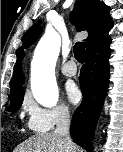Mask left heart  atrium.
<instances>
[{"label": "left heart atrium", "instance_id": "left-heart-atrium-1", "mask_svg": "<svg viewBox=\"0 0 123 152\" xmlns=\"http://www.w3.org/2000/svg\"><path fill=\"white\" fill-rule=\"evenodd\" d=\"M65 90H66L67 98L72 104H77L80 101L81 92L78 86L74 82L69 81L66 84Z\"/></svg>", "mask_w": 123, "mask_h": 152}]
</instances>
